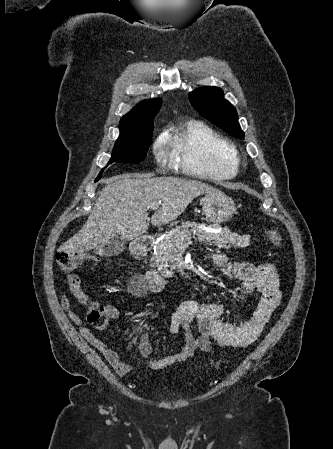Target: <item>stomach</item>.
I'll list each match as a JSON object with an SVG mask.
<instances>
[{
    "label": "stomach",
    "mask_w": 333,
    "mask_h": 449,
    "mask_svg": "<svg viewBox=\"0 0 333 449\" xmlns=\"http://www.w3.org/2000/svg\"><path fill=\"white\" fill-rule=\"evenodd\" d=\"M207 222L221 224L230 220L236 213L234 201L222 192L207 195L202 201Z\"/></svg>",
    "instance_id": "stomach-1"
}]
</instances>
